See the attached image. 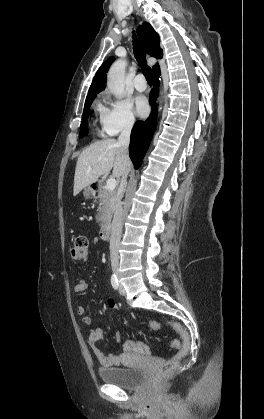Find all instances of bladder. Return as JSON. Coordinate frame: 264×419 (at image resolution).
Wrapping results in <instances>:
<instances>
[{
    "instance_id": "bladder-1",
    "label": "bladder",
    "mask_w": 264,
    "mask_h": 419,
    "mask_svg": "<svg viewBox=\"0 0 264 419\" xmlns=\"http://www.w3.org/2000/svg\"><path fill=\"white\" fill-rule=\"evenodd\" d=\"M99 377L105 383L133 389L143 382L145 371L141 367H109L100 369Z\"/></svg>"
}]
</instances>
